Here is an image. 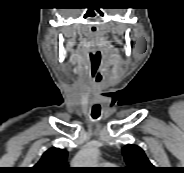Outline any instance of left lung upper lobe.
I'll use <instances>...</instances> for the list:
<instances>
[{
  "label": "left lung upper lobe",
  "mask_w": 184,
  "mask_h": 173,
  "mask_svg": "<svg viewBox=\"0 0 184 173\" xmlns=\"http://www.w3.org/2000/svg\"><path fill=\"white\" fill-rule=\"evenodd\" d=\"M127 167L125 173H154L155 167L150 163L144 151L136 145H126L122 148Z\"/></svg>",
  "instance_id": "left-lung-upper-lobe-1"
}]
</instances>
